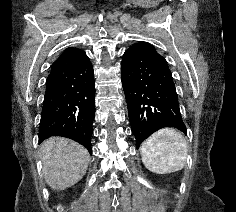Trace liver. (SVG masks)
Masks as SVG:
<instances>
[{
  "label": "liver",
  "instance_id": "6515ba94",
  "mask_svg": "<svg viewBox=\"0 0 236 212\" xmlns=\"http://www.w3.org/2000/svg\"><path fill=\"white\" fill-rule=\"evenodd\" d=\"M40 155L46 183L59 191L80 181L90 161L85 147L63 137H51L44 141Z\"/></svg>",
  "mask_w": 236,
  "mask_h": 212
}]
</instances>
